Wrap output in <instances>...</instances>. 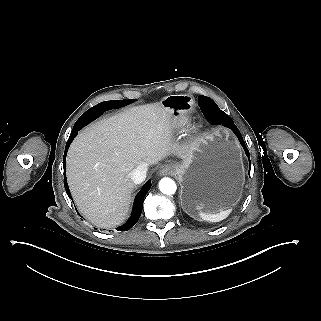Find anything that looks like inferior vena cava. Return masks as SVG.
I'll use <instances>...</instances> for the list:
<instances>
[{
  "label": "inferior vena cava",
  "instance_id": "602c4592",
  "mask_svg": "<svg viewBox=\"0 0 321 321\" xmlns=\"http://www.w3.org/2000/svg\"><path fill=\"white\" fill-rule=\"evenodd\" d=\"M147 166L135 168L130 173V178L135 184H140L146 179Z\"/></svg>",
  "mask_w": 321,
  "mask_h": 321
}]
</instances>
